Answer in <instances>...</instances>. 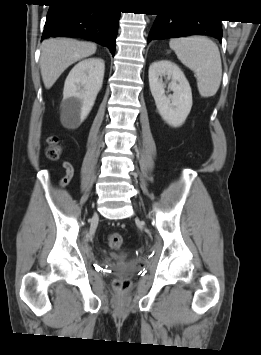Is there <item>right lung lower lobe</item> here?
<instances>
[{
	"instance_id": "right-lung-lower-lobe-1",
	"label": "right lung lower lobe",
	"mask_w": 261,
	"mask_h": 355,
	"mask_svg": "<svg viewBox=\"0 0 261 355\" xmlns=\"http://www.w3.org/2000/svg\"><path fill=\"white\" fill-rule=\"evenodd\" d=\"M120 13L104 0H51L42 40L86 38L107 46L115 55Z\"/></svg>"
}]
</instances>
